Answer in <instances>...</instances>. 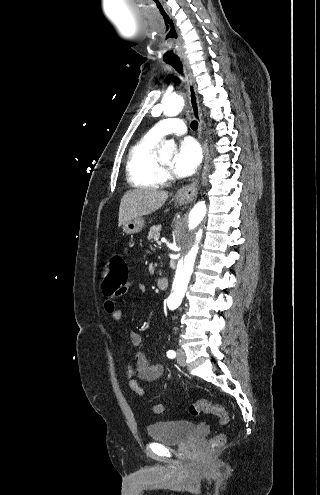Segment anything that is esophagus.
I'll use <instances>...</instances> for the list:
<instances>
[{
    "instance_id": "esophagus-1",
    "label": "esophagus",
    "mask_w": 320,
    "mask_h": 495,
    "mask_svg": "<svg viewBox=\"0 0 320 495\" xmlns=\"http://www.w3.org/2000/svg\"><path fill=\"white\" fill-rule=\"evenodd\" d=\"M183 66L186 72L187 90L189 96V103L193 116L198 120V138L201 142L204 156H206V146L202 139V117L199 107V101L197 96V88L192 70L187 60H183ZM199 180L196 179L191 184L185 185L180 188L176 193V198L179 201L188 202L194 199L197 194Z\"/></svg>"
}]
</instances>
